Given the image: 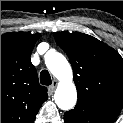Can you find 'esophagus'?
Segmentation results:
<instances>
[{
    "label": "esophagus",
    "mask_w": 123,
    "mask_h": 123,
    "mask_svg": "<svg viewBox=\"0 0 123 123\" xmlns=\"http://www.w3.org/2000/svg\"><path fill=\"white\" fill-rule=\"evenodd\" d=\"M57 84H58V81H57L56 79H54V80L52 81V84H51L50 87H49L50 91L53 92V91L55 90Z\"/></svg>",
    "instance_id": "34e87169"
}]
</instances>
